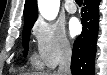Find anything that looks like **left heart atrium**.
<instances>
[{"mask_svg": "<svg viewBox=\"0 0 107 75\" xmlns=\"http://www.w3.org/2000/svg\"><path fill=\"white\" fill-rule=\"evenodd\" d=\"M81 26L77 19H72L70 21L69 30L72 36L77 35L80 32Z\"/></svg>", "mask_w": 107, "mask_h": 75, "instance_id": "39dd6f15", "label": "left heart atrium"}]
</instances>
